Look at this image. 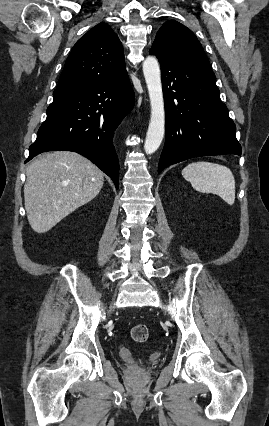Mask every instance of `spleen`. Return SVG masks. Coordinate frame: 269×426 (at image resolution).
<instances>
[{
  "mask_svg": "<svg viewBox=\"0 0 269 426\" xmlns=\"http://www.w3.org/2000/svg\"><path fill=\"white\" fill-rule=\"evenodd\" d=\"M182 176L195 190L216 194L227 204H234L235 179L232 171L226 166L200 161L185 167Z\"/></svg>",
  "mask_w": 269,
  "mask_h": 426,
  "instance_id": "1",
  "label": "spleen"
}]
</instances>
